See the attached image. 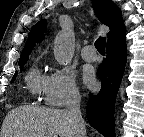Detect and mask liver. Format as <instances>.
Instances as JSON below:
<instances>
[{
	"label": "liver",
	"mask_w": 144,
	"mask_h": 137,
	"mask_svg": "<svg viewBox=\"0 0 144 137\" xmlns=\"http://www.w3.org/2000/svg\"><path fill=\"white\" fill-rule=\"evenodd\" d=\"M75 137L68 110L26 105L9 111L1 137Z\"/></svg>",
	"instance_id": "1"
}]
</instances>
